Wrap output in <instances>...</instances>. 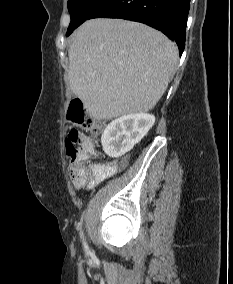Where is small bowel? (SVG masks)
Here are the masks:
<instances>
[{
	"label": "small bowel",
	"instance_id": "1",
	"mask_svg": "<svg viewBox=\"0 0 233 284\" xmlns=\"http://www.w3.org/2000/svg\"><path fill=\"white\" fill-rule=\"evenodd\" d=\"M127 164L126 158L114 160L109 163H94L87 172L86 185H94L115 175L119 170L123 169Z\"/></svg>",
	"mask_w": 233,
	"mask_h": 284
}]
</instances>
